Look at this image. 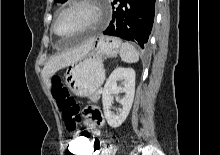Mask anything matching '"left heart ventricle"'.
Masks as SVG:
<instances>
[{"instance_id":"b2bd125f","label":"left heart ventricle","mask_w":220,"mask_h":155,"mask_svg":"<svg viewBox=\"0 0 220 155\" xmlns=\"http://www.w3.org/2000/svg\"><path fill=\"white\" fill-rule=\"evenodd\" d=\"M91 16L92 11L88 7H77L65 12L56 22V31L61 36H69L82 28Z\"/></svg>"}]
</instances>
